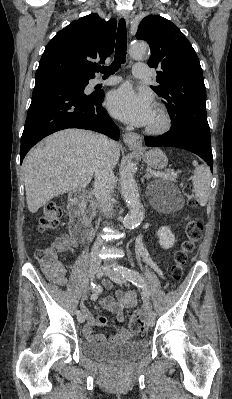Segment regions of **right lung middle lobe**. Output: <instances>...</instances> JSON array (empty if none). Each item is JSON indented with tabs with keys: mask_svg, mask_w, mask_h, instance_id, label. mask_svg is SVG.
<instances>
[{
	"mask_svg": "<svg viewBox=\"0 0 232 399\" xmlns=\"http://www.w3.org/2000/svg\"><path fill=\"white\" fill-rule=\"evenodd\" d=\"M70 82L77 83L79 85L86 86L88 84L89 79H80V78H69Z\"/></svg>",
	"mask_w": 232,
	"mask_h": 399,
	"instance_id": "right-lung-middle-lobe-1",
	"label": "right lung middle lobe"
}]
</instances>
